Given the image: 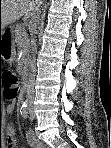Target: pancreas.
Instances as JSON below:
<instances>
[{"label":"pancreas","mask_w":111,"mask_h":148,"mask_svg":"<svg viewBox=\"0 0 111 148\" xmlns=\"http://www.w3.org/2000/svg\"><path fill=\"white\" fill-rule=\"evenodd\" d=\"M15 42L18 49L23 52V55L28 53L29 39L24 25H18L15 29Z\"/></svg>","instance_id":"pancreas-1"}]
</instances>
